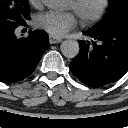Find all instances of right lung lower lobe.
I'll list each match as a JSON object with an SVG mask.
<instances>
[{
    "label": "right lung lower lobe",
    "instance_id": "1",
    "mask_svg": "<svg viewBox=\"0 0 128 128\" xmlns=\"http://www.w3.org/2000/svg\"><path fill=\"white\" fill-rule=\"evenodd\" d=\"M17 27L0 26V81L13 83L29 76L48 47L45 31L30 32L27 38H17Z\"/></svg>",
    "mask_w": 128,
    "mask_h": 128
}]
</instances>
